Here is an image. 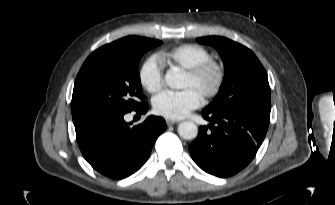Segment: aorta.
Wrapping results in <instances>:
<instances>
[{
  "label": "aorta",
  "mask_w": 335,
  "mask_h": 205,
  "mask_svg": "<svg viewBox=\"0 0 335 205\" xmlns=\"http://www.w3.org/2000/svg\"><path fill=\"white\" fill-rule=\"evenodd\" d=\"M166 84L173 89L183 87L182 75L177 67L170 68L165 75ZM178 134L181 138L191 140L197 137L198 127L194 122L184 121L178 125Z\"/></svg>",
  "instance_id": "762f6f07"
}]
</instances>
